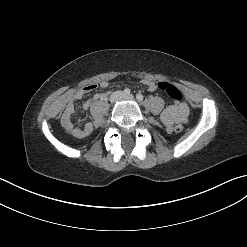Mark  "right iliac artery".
<instances>
[{
	"label": "right iliac artery",
	"instance_id": "obj_1",
	"mask_svg": "<svg viewBox=\"0 0 247 247\" xmlns=\"http://www.w3.org/2000/svg\"><path fill=\"white\" fill-rule=\"evenodd\" d=\"M130 92H131V91H130V89H128V88H126V89L124 90V94H125V95H130Z\"/></svg>",
	"mask_w": 247,
	"mask_h": 247
}]
</instances>
